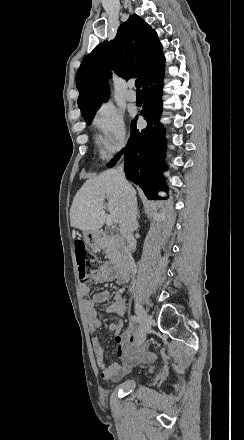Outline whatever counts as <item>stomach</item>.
<instances>
[{"label":"stomach","instance_id":"stomach-1","mask_svg":"<svg viewBox=\"0 0 244 440\" xmlns=\"http://www.w3.org/2000/svg\"><path fill=\"white\" fill-rule=\"evenodd\" d=\"M83 238L87 246L93 248V250H97V248H102L103 246V238L100 230H84Z\"/></svg>","mask_w":244,"mask_h":440}]
</instances>
